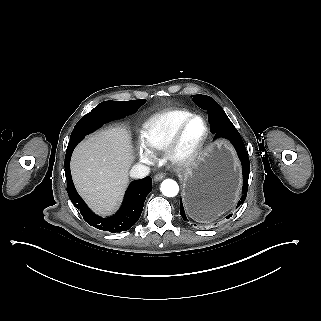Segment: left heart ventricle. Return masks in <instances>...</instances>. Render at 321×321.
<instances>
[{
	"mask_svg": "<svg viewBox=\"0 0 321 321\" xmlns=\"http://www.w3.org/2000/svg\"><path fill=\"white\" fill-rule=\"evenodd\" d=\"M203 134V123L199 119L193 120L183 131L181 147L184 150L193 148Z\"/></svg>",
	"mask_w": 321,
	"mask_h": 321,
	"instance_id": "obj_1",
	"label": "left heart ventricle"
}]
</instances>
